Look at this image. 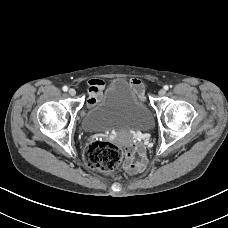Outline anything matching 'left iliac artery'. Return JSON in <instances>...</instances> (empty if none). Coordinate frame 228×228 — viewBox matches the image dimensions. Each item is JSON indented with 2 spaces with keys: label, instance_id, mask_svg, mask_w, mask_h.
Segmentation results:
<instances>
[{
  "label": "left iliac artery",
  "instance_id": "1",
  "mask_svg": "<svg viewBox=\"0 0 228 228\" xmlns=\"http://www.w3.org/2000/svg\"><path fill=\"white\" fill-rule=\"evenodd\" d=\"M164 89H165V90H168V89H169V87H168L167 85H165V86H164Z\"/></svg>",
  "mask_w": 228,
  "mask_h": 228
}]
</instances>
